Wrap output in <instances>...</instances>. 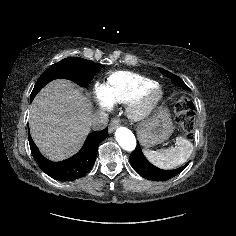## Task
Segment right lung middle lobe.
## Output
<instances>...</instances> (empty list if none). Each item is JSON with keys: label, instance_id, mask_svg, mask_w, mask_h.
<instances>
[{"label": "right lung middle lobe", "instance_id": "1", "mask_svg": "<svg viewBox=\"0 0 236 236\" xmlns=\"http://www.w3.org/2000/svg\"><path fill=\"white\" fill-rule=\"evenodd\" d=\"M102 68L101 64L79 57H68L51 65L37 80L31 93L32 101L36 94L50 81L65 78L74 81L80 86L87 87L93 76Z\"/></svg>", "mask_w": 236, "mask_h": 236}]
</instances>
